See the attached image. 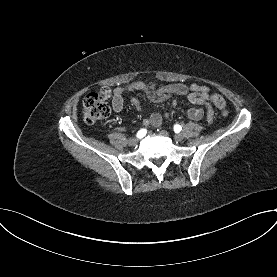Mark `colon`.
<instances>
[{"instance_id":"obj_1","label":"colon","mask_w":277,"mask_h":277,"mask_svg":"<svg viewBox=\"0 0 277 277\" xmlns=\"http://www.w3.org/2000/svg\"><path fill=\"white\" fill-rule=\"evenodd\" d=\"M108 93L99 91L89 93L83 102V117L88 124H94L110 115ZM212 102L223 115L227 114L226 102L219 94L211 96Z\"/></svg>"}]
</instances>
